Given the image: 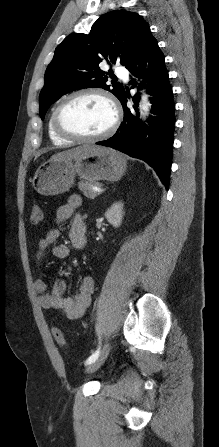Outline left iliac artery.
I'll use <instances>...</instances> for the list:
<instances>
[{
    "label": "left iliac artery",
    "mask_w": 219,
    "mask_h": 447,
    "mask_svg": "<svg viewBox=\"0 0 219 447\" xmlns=\"http://www.w3.org/2000/svg\"><path fill=\"white\" fill-rule=\"evenodd\" d=\"M100 353V346L98 349L86 360V364H90L96 360Z\"/></svg>",
    "instance_id": "left-iliac-artery-1"
}]
</instances>
